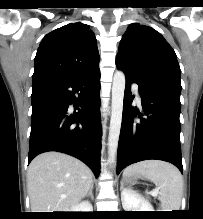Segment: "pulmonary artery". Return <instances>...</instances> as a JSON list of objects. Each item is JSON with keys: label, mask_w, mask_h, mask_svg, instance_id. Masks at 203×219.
<instances>
[{"label": "pulmonary artery", "mask_w": 203, "mask_h": 219, "mask_svg": "<svg viewBox=\"0 0 203 219\" xmlns=\"http://www.w3.org/2000/svg\"><path fill=\"white\" fill-rule=\"evenodd\" d=\"M132 88L137 96L138 99H140V96H139V91H138V86L136 84H133L132 85Z\"/></svg>", "instance_id": "1"}]
</instances>
